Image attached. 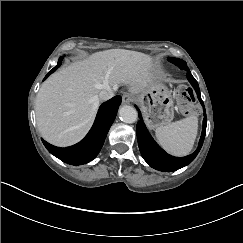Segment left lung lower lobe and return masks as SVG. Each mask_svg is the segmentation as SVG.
Returning <instances> with one entry per match:
<instances>
[{
	"mask_svg": "<svg viewBox=\"0 0 243 243\" xmlns=\"http://www.w3.org/2000/svg\"><path fill=\"white\" fill-rule=\"evenodd\" d=\"M180 69L185 70L187 72V78L191 83L192 87L194 88L197 97L200 103L202 104L204 110L203 129H202V134H201V138L197 150L191 155H188L186 157H174L167 154L163 149H161L157 145V143L153 140V138L149 134L148 130L145 127L144 122L142 121L140 112H139L140 120L138 121L136 127L137 140H138V145L142 157L152 168L163 172L176 171L190 164L199 153L203 145V141L206 134L207 117H206L204 103L200 96V89H199L198 82L192 76L187 65L180 66Z\"/></svg>",
	"mask_w": 243,
	"mask_h": 243,
	"instance_id": "obj_1",
	"label": "left lung lower lobe"
}]
</instances>
